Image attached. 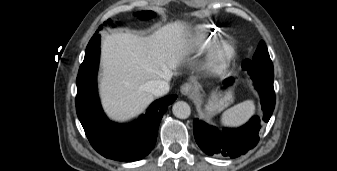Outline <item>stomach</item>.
<instances>
[{"instance_id": "stomach-1", "label": "stomach", "mask_w": 337, "mask_h": 171, "mask_svg": "<svg viewBox=\"0 0 337 171\" xmlns=\"http://www.w3.org/2000/svg\"><path fill=\"white\" fill-rule=\"evenodd\" d=\"M232 101L233 96L230 92L226 94L213 92L210 98L208 99L207 104L205 105L206 114L207 115L215 114L223 110L228 105H230Z\"/></svg>"}]
</instances>
